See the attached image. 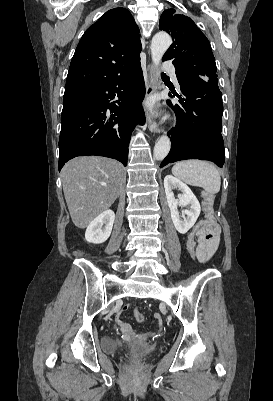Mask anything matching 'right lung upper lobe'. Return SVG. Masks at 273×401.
<instances>
[{
    "instance_id": "right-lung-upper-lobe-1",
    "label": "right lung upper lobe",
    "mask_w": 273,
    "mask_h": 401,
    "mask_svg": "<svg viewBox=\"0 0 273 401\" xmlns=\"http://www.w3.org/2000/svg\"><path fill=\"white\" fill-rule=\"evenodd\" d=\"M139 28L125 8L107 11L83 34L73 55L64 98L98 87L140 61Z\"/></svg>"
}]
</instances>
